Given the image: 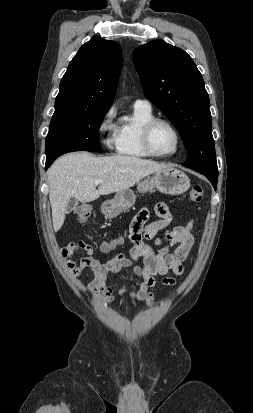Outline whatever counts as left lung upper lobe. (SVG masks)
I'll use <instances>...</instances> for the list:
<instances>
[{"label": "left lung upper lobe", "mask_w": 253, "mask_h": 413, "mask_svg": "<svg viewBox=\"0 0 253 413\" xmlns=\"http://www.w3.org/2000/svg\"><path fill=\"white\" fill-rule=\"evenodd\" d=\"M143 92L179 131L189 155L184 166L218 174L209 96L192 58L155 40L134 50Z\"/></svg>", "instance_id": "5c2ea615"}]
</instances>
